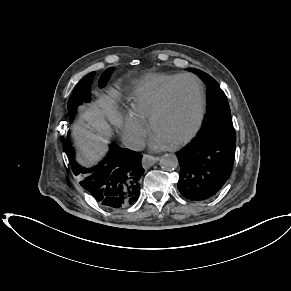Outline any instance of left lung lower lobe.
<instances>
[{
  "label": "left lung lower lobe",
  "mask_w": 291,
  "mask_h": 291,
  "mask_svg": "<svg viewBox=\"0 0 291 291\" xmlns=\"http://www.w3.org/2000/svg\"><path fill=\"white\" fill-rule=\"evenodd\" d=\"M235 142L196 136L177 154L180 165L178 190L191 201L214 197L229 179Z\"/></svg>",
  "instance_id": "obj_1"
}]
</instances>
